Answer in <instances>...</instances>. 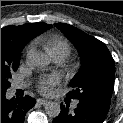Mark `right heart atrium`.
Returning <instances> with one entry per match:
<instances>
[{
  "label": "right heart atrium",
  "mask_w": 123,
  "mask_h": 123,
  "mask_svg": "<svg viewBox=\"0 0 123 123\" xmlns=\"http://www.w3.org/2000/svg\"><path fill=\"white\" fill-rule=\"evenodd\" d=\"M32 48H33V46H32V45H29V46L27 47V49H26V53H27V54L30 53L31 50H32Z\"/></svg>",
  "instance_id": "d8ad5b80"
}]
</instances>
